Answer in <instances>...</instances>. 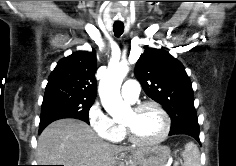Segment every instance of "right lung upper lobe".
Segmentation results:
<instances>
[{
  "instance_id": "cb5924a9",
  "label": "right lung upper lobe",
  "mask_w": 236,
  "mask_h": 166,
  "mask_svg": "<svg viewBox=\"0 0 236 166\" xmlns=\"http://www.w3.org/2000/svg\"><path fill=\"white\" fill-rule=\"evenodd\" d=\"M96 53L78 51L61 59L51 73L45 96L63 94L87 99L96 98Z\"/></svg>"
}]
</instances>
